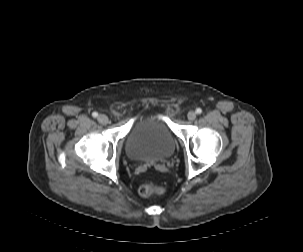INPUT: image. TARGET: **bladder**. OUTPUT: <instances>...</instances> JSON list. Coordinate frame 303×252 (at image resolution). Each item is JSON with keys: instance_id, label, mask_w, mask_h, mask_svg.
I'll return each mask as SVG.
<instances>
[{"instance_id": "1", "label": "bladder", "mask_w": 303, "mask_h": 252, "mask_svg": "<svg viewBox=\"0 0 303 252\" xmlns=\"http://www.w3.org/2000/svg\"><path fill=\"white\" fill-rule=\"evenodd\" d=\"M128 158L137 161H164L176 149V140L168 126L156 117L140 119L125 141Z\"/></svg>"}]
</instances>
